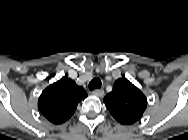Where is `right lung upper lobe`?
<instances>
[{
    "mask_svg": "<svg viewBox=\"0 0 188 140\" xmlns=\"http://www.w3.org/2000/svg\"><path fill=\"white\" fill-rule=\"evenodd\" d=\"M87 97L83 87L64 76L48 86L40 95L38 108L54 124H61L74 114L79 102Z\"/></svg>",
    "mask_w": 188,
    "mask_h": 140,
    "instance_id": "obj_1",
    "label": "right lung upper lobe"
}]
</instances>
